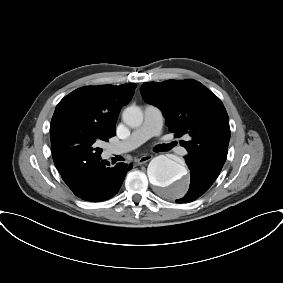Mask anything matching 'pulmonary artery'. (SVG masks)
Segmentation results:
<instances>
[{
	"label": "pulmonary artery",
	"instance_id": "pulmonary-artery-1",
	"mask_svg": "<svg viewBox=\"0 0 283 283\" xmlns=\"http://www.w3.org/2000/svg\"><path fill=\"white\" fill-rule=\"evenodd\" d=\"M163 116L161 110L154 105L147 104L144 109V121L140 127L134 130L125 140L110 147L113 154H121L131 151L143 144L150 137L161 132Z\"/></svg>",
	"mask_w": 283,
	"mask_h": 283
}]
</instances>
